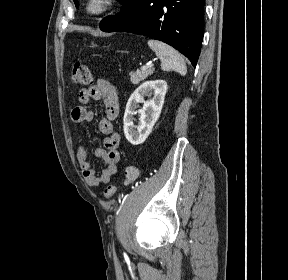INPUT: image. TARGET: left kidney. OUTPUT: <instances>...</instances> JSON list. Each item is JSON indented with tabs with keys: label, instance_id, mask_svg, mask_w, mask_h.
I'll return each mask as SVG.
<instances>
[{
	"label": "left kidney",
	"instance_id": "left-kidney-1",
	"mask_svg": "<svg viewBox=\"0 0 288 280\" xmlns=\"http://www.w3.org/2000/svg\"><path fill=\"white\" fill-rule=\"evenodd\" d=\"M167 83L165 80L145 81L130 96L124 113V134L126 139L133 145L142 144L153 126L157 122L165 99ZM147 96L149 99L144 100ZM139 103L143 108L136 110ZM139 114V122L134 125V115Z\"/></svg>",
	"mask_w": 288,
	"mask_h": 280
}]
</instances>
